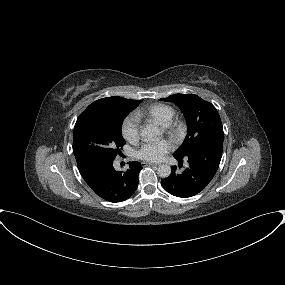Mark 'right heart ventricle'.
<instances>
[{"label": "right heart ventricle", "mask_w": 285, "mask_h": 285, "mask_svg": "<svg viewBox=\"0 0 285 285\" xmlns=\"http://www.w3.org/2000/svg\"><path fill=\"white\" fill-rule=\"evenodd\" d=\"M174 114L173 107L164 103H155L135 112L138 118L152 119L162 125L168 124Z\"/></svg>", "instance_id": "1"}]
</instances>
